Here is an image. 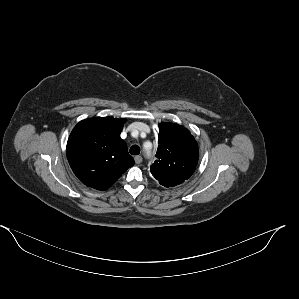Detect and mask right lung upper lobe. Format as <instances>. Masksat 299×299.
I'll return each instance as SVG.
<instances>
[{"label": "right lung upper lobe", "instance_id": "right-lung-upper-lobe-1", "mask_svg": "<svg viewBox=\"0 0 299 299\" xmlns=\"http://www.w3.org/2000/svg\"><path fill=\"white\" fill-rule=\"evenodd\" d=\"M125 119L96 117L80 121L67 142V159L86 186L106 190L134 165L120 138Z\"/></svg>", "mask_w": 299, "mask_h": 299}]
</instances>
